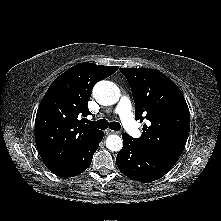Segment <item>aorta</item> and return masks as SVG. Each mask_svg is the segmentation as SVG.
<instances>
[{
  "label": "aorta",
  "instance_id": "obj_1",
  "mask_svg": "<svg viewBox=\"0 0 221 221\" xmlns=\"http://www.w3.org/2000/svg\"><path fill=\"white\" fill-rule=\"evenodd\" d=\"M93 96L99 104L109 106L119 100L120 90L113 82L102 80L94 86ZM106 147L111 151H120L123 147L122 138L118 135H109L106 139Z\"/></svg>",
  "mask_w": 221,
  "mask_h": 221
}]
</instances>
